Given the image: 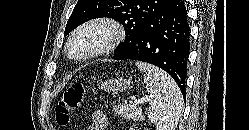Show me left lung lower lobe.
I'll use <instances>...</instances> for the list:
<instances>
[{
  "mask_svg": "<svg viewBox=\"0 0 249 130\" xmlns=\"http://www.w3.org/2000/svg\"><path fill=\"white\" fill-rule=\"evenodd\" d=\"M189 50L186 4L182 0H171L144 23L134 39L113 59L139 60L162 68L176 81L185 98Z\"/></svg>",
  "mask_w": 249,
  "mask_h": 130,
  "instance_id": "obj_1",
  "label": "left lung lower lobe"
}]
</instances>
